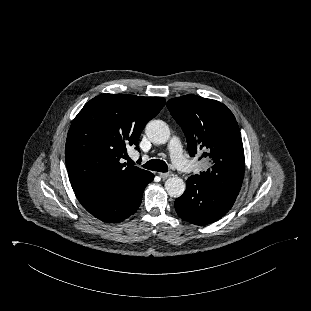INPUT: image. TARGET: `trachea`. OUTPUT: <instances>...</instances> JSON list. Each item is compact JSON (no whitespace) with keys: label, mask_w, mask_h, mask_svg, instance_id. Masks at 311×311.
Segmentation results:
<instances>
[{"label":"trachea","mask_w":311,"mask_h":311,"mask_svg":"<svg viewBox=\"0 0 311 311\" xmlns=\"http://www.w3.org/2000/svg\"><path fill=\"white\" fill-rule=\"evenodd\" d=\"M143 167L145 169H149L152 171H158V172H167L168 171V166L167 164L160 159H152L148 162H146Z\"/></svg>","instance_id":"3493384b"}]
</instances>
